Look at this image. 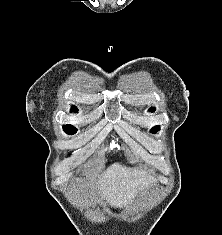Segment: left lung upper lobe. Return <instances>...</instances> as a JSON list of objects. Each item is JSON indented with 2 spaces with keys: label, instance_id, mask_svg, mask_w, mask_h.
Here are the masks:
<instances>
[{
  "label": "left lung upper lobe",
  "instance_id": "1",
  "mask_svg": "<svg viewBox=\"0 0 222 235\" xmlns=\"http://www.w3.org/2000/svg\"><path fill=\"white\" fill-rule=\"evenodd\" d=\"M150 111H151V112H153V111H154V109H153V108H151V109H150ZM158 130H159V126H155L154 128H152V129H151V131H150V132L155 133V132H157Z\"/></svg>",
  "mask_w": 222,
  "mask_h": 235
}]
</instances>
